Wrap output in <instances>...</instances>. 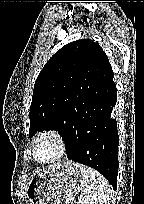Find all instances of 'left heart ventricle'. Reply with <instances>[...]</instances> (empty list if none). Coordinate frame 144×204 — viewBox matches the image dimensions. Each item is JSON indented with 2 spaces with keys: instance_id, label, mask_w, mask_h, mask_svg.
Returning a JSON list of instances; mask_svg holds the SVG:
<instances>
[{
  "instance_id": "left-heart-ventricle-1",
  "label": "left heart ventricle",
  "mask_w": 144,
  "mask_h": 204,
  "mask_svg": "<svg viewBox=\"0 0 144 204\" xmlns=\"http://www.w3.org/2000/svg\"><path fill=\"white\" fill-rule=\"evenodd\" d=\"M58 150V145L54 139L45 138L38 143L36 155L39 160L45 161L55 157Z\"/></svg>"
}]
</instances>
